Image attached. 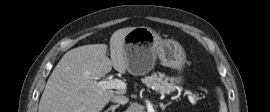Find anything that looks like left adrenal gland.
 <instances>
[{"label":"left adrenal gland","mask_w":270,"mask_h":112,"mask_svg":"<svg viewBox=\"0 0 270 112\" xmlns=\"http://www.w3.org/2000/svg\"><path fill=\"white\" fill-rule=\"evenodd\" d=\"M170 104H171V102H168V103H166V104L159 103V105H160L162 111L165 110V108H166L168 105H170Z\"/></svg>","instance_id":"left-adrenal-gland-1"}]
</instances>
